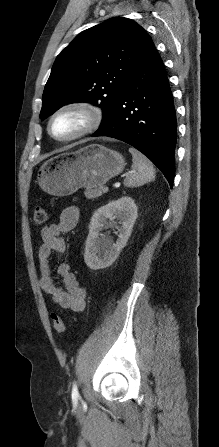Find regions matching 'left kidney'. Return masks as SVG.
Masks as SVG:
<instances>
[{
    "label": "left kidney",
    "instance_id": "obj_1",
    "mask_svg": "<svg viewBox=\"0 0 219 447\" xmlns=\"http://www.w3.org/2000/svg\"><path fill=\"white\" fill-rule=\"evenodd\" d=\"M114 218L121 221L116 243H113L106 235L100 234L107 224V220ZM136 218L137 206L134 200L128 196L111 201L94 212L84 253V261L90 269L99 270L113 264L126 246Z\"/></svg>",
    "mask_w": 219,
    "mask_h": 447
}]
</instances>
